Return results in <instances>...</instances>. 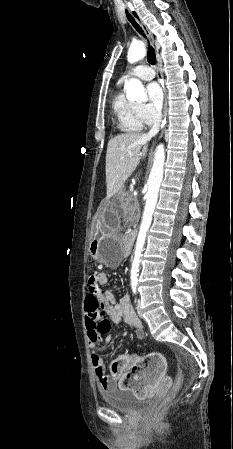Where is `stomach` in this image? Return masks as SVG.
Returning a JSON list of instances; mask_svg holds the SVG:
<instances>
[{"label":"stomach","mask_w":233,"mask_h":449,"mask_svg":"<svg viewBox=\"0 0 233 449\" xmlns=\"http://www.w3.org/2000/svg\"><path fill=\"white\" fill-rule=\"evenodd\" d=\"M120 206L119 201H100V210H107V212L93 213V220L98 221L99 238L90 242L89 251L95 260L111 268L119 264L122 255L121 242L113 233L114 227L118 226V221L121 219V214L112 212L119 210Z\"/></svg>","instance_id":"obj_1"}]
</instances>
